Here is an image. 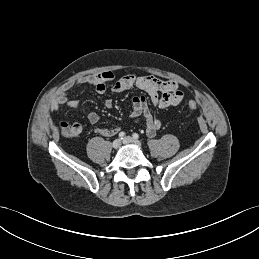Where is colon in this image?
<instances>
[{
    "label": "colon",
    "instance_id": "5ec220e1",
    "mask_svg": "<svg viewBox=\"0 0 259 259\" xmlns=\"http://www.w3.org/2000/svg\"><path fill=\"white\" fill-rule=\"evenodd\" d=\"M187 108L190 111H194L197 109V103L191 100L188 102ZM60 129L62 134L66 137L76 136L78 135V132H79V126L77 123H74V124L63 123L61 124Z\"/></svg>",
    "mask_w": 259,
    "mask_h": 259
}]
</instances>
